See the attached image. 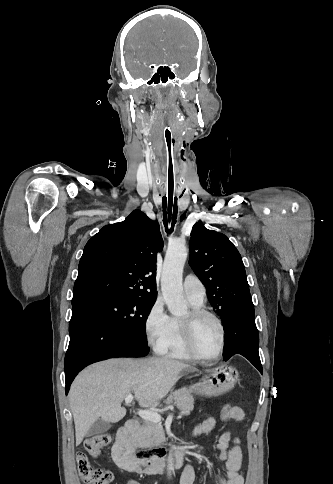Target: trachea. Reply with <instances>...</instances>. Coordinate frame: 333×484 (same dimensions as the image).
Returning <instances> with one entry per match:
<instances>
[{"label":"trachea","mask_w":333,"mask_h":484,"mask_svg":"<svg viewBox=\"0 0 333 484\" xmlns=\"http://www.w3.org/2000/svg\"><path fill=\"white\" fill-rule=\"evenodd\" d=\"M161 147L160 152L163 154L164 164V183L165 188L163 192V223L165 231L172 233L177 219V197L179 191L178 186V172L176 171L177 157L174 150L175 133L166 128L161 133Z\"/></svg>","instance_id":"obj_1"}]
</instances>
